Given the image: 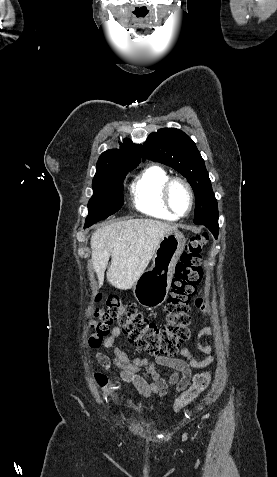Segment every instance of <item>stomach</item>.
Masks as SVG:
<instances>
[{
    "instance_id": "1",
    "label": "stomach",
    "mask_w": 277,
    "mask_h": 477,
    "mask_svg": "<svg viewBox=\"0 0 277 477\" xmlns=\"http://www.w3.org/2000/svg\"><path fill=\"white\" fill-rule=\"evenodd\" d=\"M186 245L181 232H168L160 241L152 266L144 271L133 285L136 301L146 308H156L166 300L175 265Z\"/></svg>"
}]
</instances>
